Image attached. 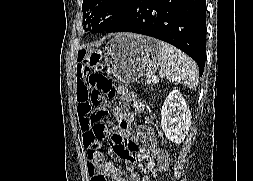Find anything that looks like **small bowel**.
I'll use <instances>...</instances> for the list:
<instances>
[{"label": "small bowel", "instance_id": "obj_1", "mask_svg": "<svg viewBox=\"0 0 253 181\" xmlns=\"http://www.w3.org/2000/svg\"><path fill=\"white\" fill-rule=\"evenodd\" d=\"M88 69L79 66L76 72V99L77 113L79 117L84 113L85 105L83 99L86 96L88 86ZM120 102L132 104L134 108L142 112L145 108L143 102L137 99L134 92L126 88H120ZM113 126L110 140L111 152L119 156L126 162H144L143 172H132L128 177H124L122 171L113 161L101 160L93 161L88 157L87 169L91 181H108L107 176L115 181H150L152 176L164 171L169 165V156L162 149L153 137L149 128L141 127L136 136L130 134L131 116L126 114L120 107L115 106L111 110Z\"/></svg>", "mask_w": 253, "mask_h": 181}]
</instances>
